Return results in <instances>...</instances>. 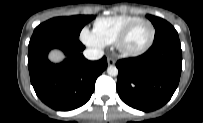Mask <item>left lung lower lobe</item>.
I'll use <instances>...</instances> for the list:
<instances>
[{"label":"left lung lower lobe","instance_id":"0a47b994","mask_svg":"<svg viewBox=\"0 0 203 123\" xmlns=\"http://www.w3.org/2000/svg\"><path fill=\"white\" fill-rule=\"evenodd\" d=\"M117 92L127 105L145 112L165 105L174 94L182 69L178 34L160 39L143 55L119 60Z\"/></svg>","mask_w":203,"mask_h":123}]
</instances>
